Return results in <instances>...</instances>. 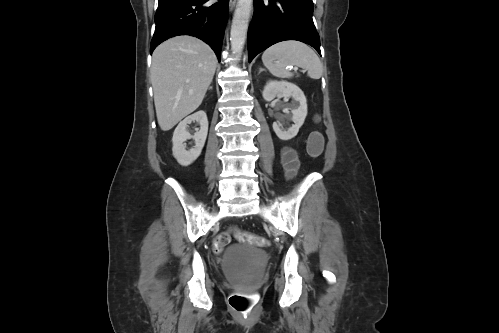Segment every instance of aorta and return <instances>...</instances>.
<instances>
[{
	"label": "aorta",
	"mask_w": 499,
	"mask_h": 333,
	"mask_svg": "<svg viewBox=\"0 0 499 333\" xmlns=\"http://www.w3.org/2000/svg\"><path fill=\"white\" fill-rule=\"evenodd\" d=\"M252 5L253 0H238L230 32L231 50L235 54H240L243 50Z\"/></svg>",
	"instance_id": "aorta-1"
}]
</instances>
